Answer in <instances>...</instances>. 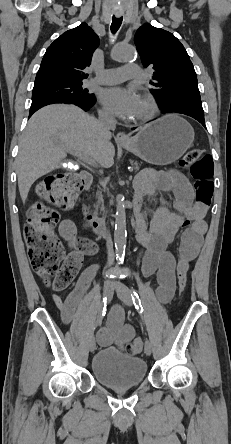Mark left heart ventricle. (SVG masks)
Listing matches in <instances>:
<instances>
[{
	"label": "left heart ventricle",
	"instance_id": "left-heart-ventricle-1",
	"mask_svg": "<svg viewBox=\"0 0 231 444\" xmlns=\"http://www.w3.org/2000/svg\"><path fill=\"white\" fill-rule=\"evenodd\" d=\"M145 105L143 104V102L141 101V99H140V101H139V105H138V109H137V111H136V114H135V116H138L139 114H141V113H143L144 111H145Z\"/></svg>",
	"mask_w": 231,
	"mask_h": 444
}]
</instances>
